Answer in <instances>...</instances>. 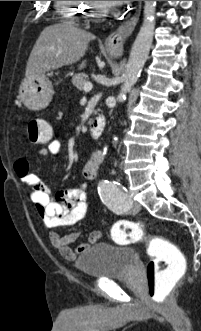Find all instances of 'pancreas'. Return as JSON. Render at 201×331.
Instances as JSON below:
<instances>
[{"instance_id": "obj_1", "label": "pancreas", "mask_w": 201, "mask_h": 331, "mask_svg": "<svg viewBox=\"0 0 201 331\" xmlns=\"http://www.w3.org/2000/svg\"><path fill=\"white\" fill-rule=\"evenodd\" d=\"M88 76L84 73L76 74L72 77V83L78 90H83V87L88 83Z\"/></svg>"}]
</instances>
